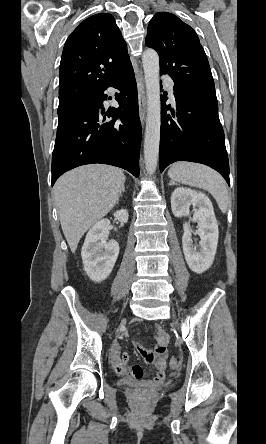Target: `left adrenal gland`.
<instances>
[{
    "label": "left adrenal gland",
    "mask_w": 266,
    "mask_h": 444,
    "mask_svg": "<svg viewBox=\"0 0 266 444\" xmlns=\"http://www.w3.org/2000/svg\"><path fill=\"white\" fill-rule=\"evenodd\" d=\"M169 185H176V183L172 180Z\"/></svg>",
    "instance_id": "1"
}]
</instances>
